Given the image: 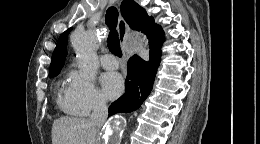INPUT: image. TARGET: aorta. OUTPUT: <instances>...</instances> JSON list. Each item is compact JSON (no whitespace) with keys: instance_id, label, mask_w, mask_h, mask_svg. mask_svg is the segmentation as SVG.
Listing matches in <instances>:
<instances>
[{"instance_id":"aorta-1","label":"aorta","mask_w":260,"mask_h":144,"mask_svg":"<svg viewBox=\"0 0 260 144\" xmlns=\"http://www.w3.org/2000/svg\"><path fill=\"white\" fill-rule=\"evenodd\" d=\"M100 38L95 31L76 32L73 35L72 43L77 53L80 74L85 79H93L98 69V59L96 49ZM123 126V120L117 118L113 122V132L119 135Z\"/></svg>"}]
</instances>
